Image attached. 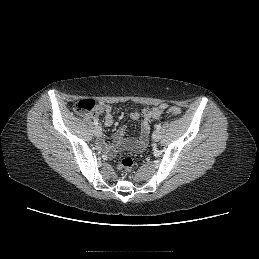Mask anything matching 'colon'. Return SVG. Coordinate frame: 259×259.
<instances>
[{
  "instance_id": "1",
  "label": "colon",
  "mask_w": 259,
  "mask_h": 259,
  "mask_svg": "<svg viewBox=\"0 0 259 259\" xmlns=\"http://www.w3.org/2000/svg\"><path fill=\"white\" fill-rule=\"evenodd\" d=\"M99 106L94 99L87 98L78 101L75 106L74 110L79 114L84 115H93L97 112ZM165 111L175 117L181 116L182 111L180 108L176 106H170L165 109ZM134 166V161L130 157H124L118 164V169L123 172L125 175L131 173Z\"/></svg>"
}]
</instances>
